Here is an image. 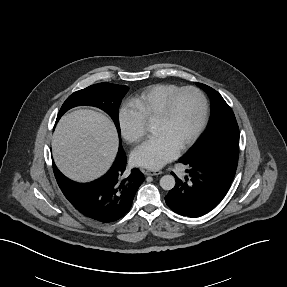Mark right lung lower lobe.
<instances>
[{"mask_svg": "<svg viewBox=\"0 0 287 287\" xmlns=\"http://www.w3.org/2000/svg\"><path fill=\"white\" fill-rule=\"evenodd\" d=\"M126 155L119 148L110 170L90 183H77L66 178L55 165L57 183L67 200L84 216L102 223L122 218L131 208L133 198L144 181L138 169L124 177Z\"/></svg>", "mask_w": 287, "mask_h": 287, "instance_id": "98d812e1", "label": "right lung lower lobe"}]
</instances>
